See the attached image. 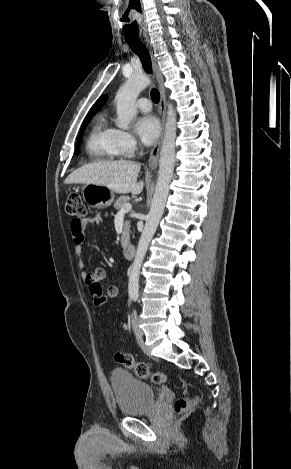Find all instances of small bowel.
I'll return each instance as SVG.
<instances>
[{
	"instance_id": "1",
	"label": "small bowel",
	"mask_w": 291,
	"mask_h": 469,
	"mask_svg": "<svg viewBox=\"0 0 291 469\" xmlns=\"http://www.w3.org/2000/svg\"><path fill=\"white\" fill-rule=\"evenodd\" d=\"M100 221H101L100 216H94V217L85 218V219H72L70 222V230H71L72 241L74 244V252L79 258L77 262V266L80 269L84 267V263L81 257H82V244L85 238L86 227L91 223H99ZM105 277H106V271L101 267H97L92 272L85 274V280L89 286V290L93 297V301H94V298L98 295V291L96 290L94 291V287L99 288L100 293H103L100 281L105 279ZM118 294H119V289L117 286H110L107 289V297L109 298H116ZM107 297H106V300H107Z\"/></svg>"
}]
</instances>
